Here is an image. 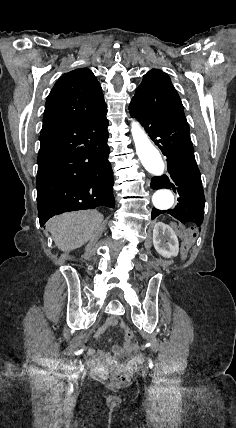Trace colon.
<instances>
[{
    "mask_svg": "<svg viewBox=\"0 0 236 428\" xmlns=\"http://www.w3.org/2000/svg\"><path fill=\"white\" fill-rule=\"evenodd\" d=\"M125 337L128 341H132L134 338L133 332L126 328ZM130 380V374L126 370H117L111 375V382L113 385H124Z\"/></svg>",
    "mask_w": 236,
    "mask_h": 428,
    "instance_id": "colon-1",
    "label": "colon"
}]
</instances>
